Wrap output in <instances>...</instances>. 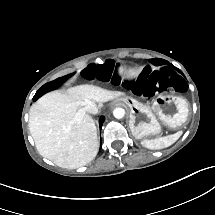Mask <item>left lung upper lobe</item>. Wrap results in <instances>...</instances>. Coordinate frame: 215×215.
<instances>
[{"label": "left lung upper lobe", "mask_w": 215, "mask_h": 215, "mask_svg": "<svg viewBox=\"0 0 215 215\" xmlns=\"http://www.w3.org/2000/svg\"><path fill=\"white\" fill-rule=\"evenodd\" d=\"M150 61H151L152 64L157 65V66H158V65H163V64L165 63L164 60L158 59V58L151 59Z\"/></svg>", "instance_id": "1"}]
</instances>
